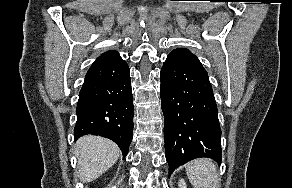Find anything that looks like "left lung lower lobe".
I'll return each mask as SVG.
<instances>
[{
    "mask_svg": "<svg viewBox=\"0 0 292 188\" xmlns=\"http://www.w3.org/2000/svg\"><path fill=\"white\" fill-rule=\"evenodd\" d=\"M160 77L169 172L198 157L220 164L221 129L206 70L168 55Z\"/></svg>",
    "mask_w": 292,
    "mask_h": 188,
    "instance_id": "obj_1",
    "label": "left lung lower lobe"
}]
</instances>
